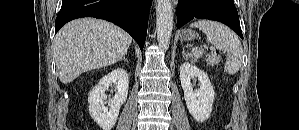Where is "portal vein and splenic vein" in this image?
Listing matches in <instances>:
<instances>
[{
  "mask_svg": "<svg viewBox=\"0 0 299 130\" xmlns=\"http://www.w3.org/2000/svg\"><path fill=\"white\" fill-rule=\"evenodd\" d=\"M210 50H211L212 52H214V53L216 52V49L213 48V47H211Z\"/></svg>",
  "mask_w": 299,
  "mask_h": 130,
  "instance_id": "18ae733b",
  "label": "portal vein and splenic vein"
}]
</instances>
